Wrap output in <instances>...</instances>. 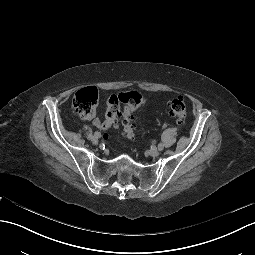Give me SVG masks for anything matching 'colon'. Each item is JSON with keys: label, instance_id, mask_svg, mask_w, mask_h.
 I'll return each instance as SVG.
<instances>
[{"label": "colon", "instance_id": "5ec220e1", "mask_svg": "<svg viewBox=\"0 0 255 255\" xmlns=\"http://www.w3.org/2000/svg\"><path fill=\"white\" fill-rule=\"evenodd\" d=\"M144 102L140 93L135 91L122 92L111 95L107 101L105 120L102 124L105 130L115 125L122 119L124 134L128 138L134 136L133 114ZM98 92L95 88H83L76 92L72 100L74 110L83 118H91L96 112ZM121 104H124L123 110ZM170 114L178 122L186 119V105L181 97H175L169 102Z\"/></svg>", "mask_w": 255, "mask_h": 255}]
</instances>
